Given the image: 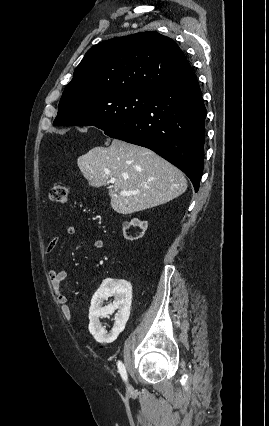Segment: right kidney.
<instances>
[{
  "label": "right kidney",
  "instance_id": "right-kidney-1",
  "mask_svg": "<svg viewBox=\"0 0 269 426\" xmlns=\"http://www.w3.org/2000/svg\"><path fill=\"white\" fill-rule=\"evenodd\" d=\"M131 225L138 226L140 227V229H142L140 231L141 234L139 236L133 237L131 235H127L126 230L129 229ZM147 227V223L140 222L137 219H133L131 220V222H124V238L129 241L137 240L143 236ZM110 296L114 297L113 303L106 307H102L103 301L108 299V297ZM131 297L132 288L130 283H128L127 281L114 279H106L103 281L100 288L93 296L91 307L89 310V331L96 341L100 343L112 342L116 338L120 330L124 328L129 316ZM116 308L119 310L115 322V327L113 329L112 334L107 335L105 328L101 325L99 321V318L105 317L107 314H109L112 310Z\"/></svg>",
  "mask_w": 269,
  "mask_h": 426
}]
</instances>
